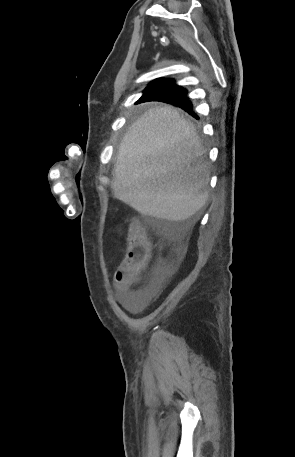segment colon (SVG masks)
<instances>
[{
	"instance_id": "1",
	"label": "colon",
	"mask_w": 295,
	"mask_h": 457,
	"mask_svg": "<svg viewBox=\"0 0 295 457\" xmlns=\"http://www.w3.org/2000/svg\"><path fill=\"white\" fill-rule=\"evenodd\" d=\"M150 251V242L144 230L138 222L133 221L128 234L127 252L118 269V274L125 276L130 285L134 284L145 267Z\"/></svg>"
}]
</instances>
